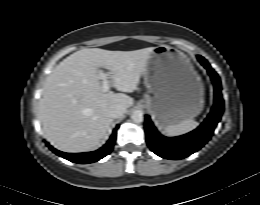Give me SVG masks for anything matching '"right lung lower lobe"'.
I'll list each match as a JSON object with an SVG mask.
<instances>
[{"label": "right lung lower lobe", "instance_id": "98d812e1", "mask_svg": "<svg viewBox=\"0 0 260 205\" xmlns=\"http://www.w3.org/2000/svg\"><path fill=\"white\" fill-rule=\"evenodd\" d=\"M119 125H117L116 129H114L112 136L110 137L109 141L99 150L93 151V152H86V153H64L61 151H58L54 149L52 146H50L48 143L46 145L57 155L60 157H63L71 162L79 163V164H87V163H93L101 158L108 155L111 150L113 149V145L115 143L116 139V131Z\"/></svg>", "mask_w": 260, "mask_h": 205}]
</instances>
